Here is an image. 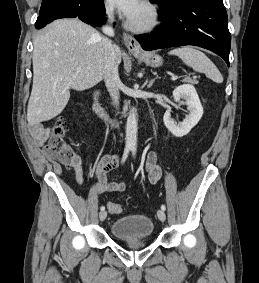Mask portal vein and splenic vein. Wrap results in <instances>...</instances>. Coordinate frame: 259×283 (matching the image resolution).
I'll list each match as a JSON object with an SVG mask.
<instances>
[{"label":"portal vein and splenic vein","mask_w":259,"mask_h":283,"mask_svg":"<svg viewBox=\"0 0 259 283\" xmlns=\"http://www.w3.org/2000/svg\"><path fill=\"white\" fill-rule=\"evenodd\" d=\"M76 71H77V72H80V71H81V68H80V67H77V68H76ZM177 78H178L177 76L172 75V78H171V79H172V80H176Z\"/></svg>","instance_id":"18ae733b"}]
</instances>
